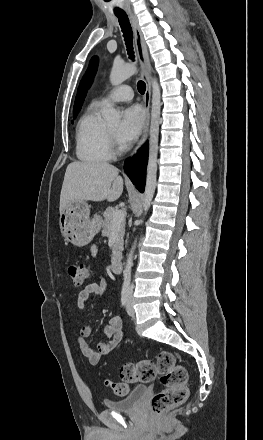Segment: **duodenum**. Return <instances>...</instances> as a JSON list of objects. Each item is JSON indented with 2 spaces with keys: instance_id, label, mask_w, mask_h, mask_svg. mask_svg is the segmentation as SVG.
<instances>
[{
  "instance_id": "obj_1",
  "label": "duodenum",
  "mask_w": 263,
  "mask_h": 440,
  "mask_svg": "<svg viewBox=\"0 0 263 440\" xmlns=\"http://www.w3.org/2000/svg\"><path fill=\"white\" fill-rule=\"evenodd\" d=\"M111 270L113 273H120L122 271V262L119 259H114L111 264Z\"/></svg>"
}]
</instances>
